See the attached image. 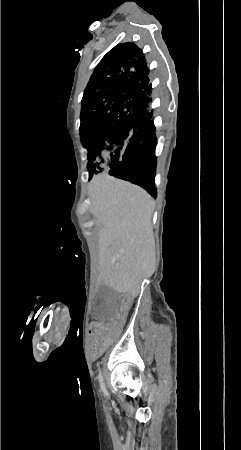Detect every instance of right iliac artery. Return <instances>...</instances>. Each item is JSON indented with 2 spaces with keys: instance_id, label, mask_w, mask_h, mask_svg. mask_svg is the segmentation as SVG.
Instances as JSON below:
<instances>
[{
  "instance_id": "obj_1",
  "label": "right iliac artery",
  "mask_w": 241,
  "mask_h": 450,
  "mask_svg": "<svg viewBox=\"0 0 241 450\" xmlns=\"http://www.w3.org/2000/svg\"><path fill=\"white\" fill-rule=\"evenodd\" d=\"M99 383H100L101 390L104 392V394H107V390H106V387H105V384L103 381V376L101 373L99 375Z\"/></svg>"
}]
</instances>
